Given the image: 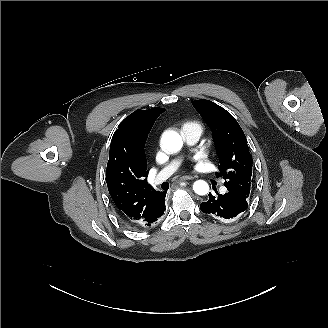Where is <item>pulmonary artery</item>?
<instances>
[{
	"mask_svg": "<svg viewBox=\"0 0 328 328\" xmlns=\"http://www.w3.org/2000/svg\"><path fill=\"white\" fill-rule=\"evenodd\" d=\"M185 143L188 146L194 145L200 138V135L197 131L185 129L182 133ZM178 165V160H174L169 163L161 172L155 174L149 178V183L151 186L156 187L163 180L168 178L176 169Z\"/></svg>",
	"mask_w": 328,
	"mask_h": 328,
	"instance_id": "obj_1",
	"label": "pulmonary artery"
}]
</instances>
